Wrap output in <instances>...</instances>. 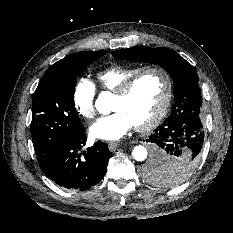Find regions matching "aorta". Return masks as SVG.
<instances>
[{
    "label": "aorta",
    "instance_id": "aorta-1",
    "mask_svg": "<svg viewBox=\"0 0 233 233\" xmlns=\"http://www.w3.org/2000/svg\"><path fill=\"white\" fill-rule=\"evenodd\" d=\"M108 101H109L108 93L106 92L101 93L95 103L96 109L102 114H107L109 112ZM147 155H148L147 149L141 145L135 146L132 151V156L136 161H144L147 158Z\"/></svg>",
    "mask_w": 233,
    "mask_h": 233
}]
</instances>
